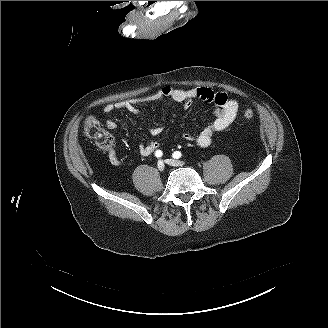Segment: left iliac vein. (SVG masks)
Wrapping results in <instances>:
<instances>
[{
	"mask_svg": "<svg viewBox=\"0 0 328 328\" xmlns=\"http://www.w3.org/2000/svg\"><path fill=\"white\" fill-rule=\"evenodd\" d=\"M165 162L171 166H183L185 164L184 161L175 159H166Z\"/></svg>",
	"mask_w": 328,
	"mask_h": 328,
	"instance_id": "1",
	"label": "left iliac vein"
}]
</instances>
